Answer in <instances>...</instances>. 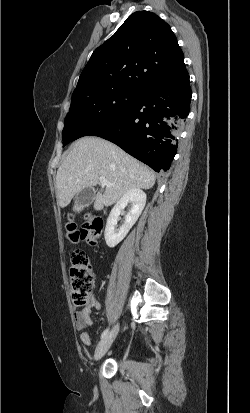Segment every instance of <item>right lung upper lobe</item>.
Returning <instances> with one entry per match:
<instances>
[{
  "instance_id": "1",
  "label": "right lung upper lobe",
  "mask_w": 250,
  "mask_h": 413,
  "mask_svg": "<svg viewBox=\"0 0 250 413\" xmlns=\"http://www.w3.org/2000/svg\"><path fill=\"white\" fill-rule=\"evenodd\" d=\"M187 74L170 26L154 13L137 11L93 52L73 94L116 87L141 90L157 82L179 81Z\"/></svg>"
}]
</instances>
